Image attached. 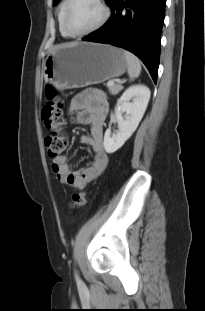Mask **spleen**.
Returning <instances> with one entry per match:
<instances>
[{"label": "spleen", "mask_w": 205, "mask_h": 311, "mask_svg": "<svg viewBox=\"0 0 205 311\" xmlns=\"http://www.w3.org/2000/svg\"><path fill=\"white\" fill-rule=\"evenodd\" d=\"M125 58L128 64V74L131 79H134L140 75L141 63L140 60L131 52L124 51Z\"/></svg>", "instance_id": "obj_1"}]
</instances>
